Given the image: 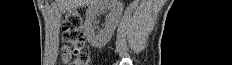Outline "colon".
<instances>
[{"mask_svg": "<svg viewBox=\"0 0 232 65\" xmlns=\"http://www.w3.org/2000/svg\"><path fill=\"white\" fill-rule=\"evenodd\" d=\"M63 39L66 43L64 57L72 54L74 60L72 65H88L89 56L84 51L85 38L83 33V18L78 12H69L62 21Z\"/></svg>", "mask_w": 232, "mask_h": 65, "instance_id": "5ec220e1", "label": "colon"}]
</instances>
